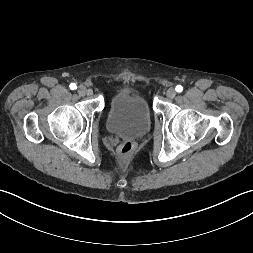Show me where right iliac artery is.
Returning a JSON list of instances; mask_svg holds the SVG:
<instances>
[{"label": "right iliac artery", "instance_id": "right-iliac-artery-1", "mask_svg": "<svg viewBox=\"0 0 253 253\" xmlns=\"http://www.w3.org/2000/svg\"><path fill=\"white\" fill-rule=\"evenodd\" d=\"M69 87H70L71 90L77 89V86H76L75 83H71Z\"/></svg>", "mask_w": 253, "mask_h": 253}]
</instances>
